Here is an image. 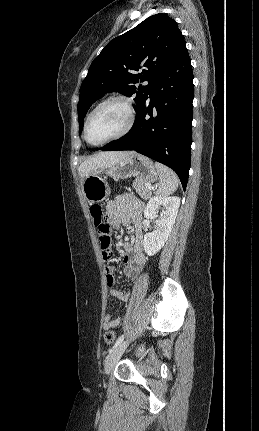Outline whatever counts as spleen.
<instances>
[{
    "mask_svg": "<svg viewBox=\"0 0 259 431\" xmlns=\"http://www.w3.org/2000/svg\"><path fill=\"white\" fill-rule=\"evenodd\" d=\"M155 168L159 174L158 196H168L174 193L179 185V179L175 172L165 165L155 162Z\"/></svg>",
    "mask_w": 259,
    "mask_h": 431,
    "instance_id": "spleen-1",
    "label": "spleen"
}]
</instances>
